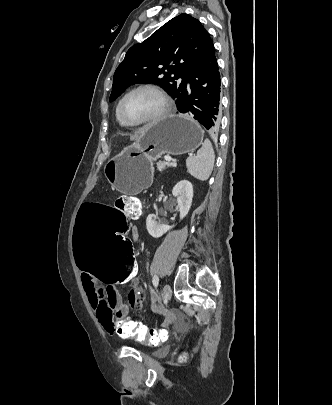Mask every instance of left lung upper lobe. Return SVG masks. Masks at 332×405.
Segmentation results:
<instances>
[{
    "mask_svg": "<svg viewBox=\"0 0 332 405\" xmlns=\"http://www.w3.org/2000/svg\"><path fill=\"white\" fill-rule=\"evenodd\" d=\"M212 46L209 33L198 19L188 14L174 17L128 50L115 71L109 101L136 83L162 85L177 101L187 91L189 75ZM179 78L182 81L177 84Z\"/></svg>",
    "mask_w": 332,
    "mask_h": 405,
    "instance_id": "obj_1",
    "label": "left lung upper lobe"
}]
</instances>
